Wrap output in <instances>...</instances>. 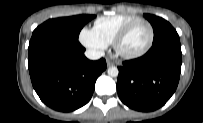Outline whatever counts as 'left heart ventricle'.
<instances>
[{"mask_svg": "<svg viewBox=\"0 0 203 123\" xmlns=\"http://www.w3.org/2000/svg\"><path fill=\"white\" fill-rule=\"evenodd\" d=\"M150 30L144 23L137 24L121 43V50L127 53L138 52L148 43Z\"/></svg>", "mask_w": 203, "mask_h": 123, "instance_id": "left-heart-ventricle-1", "label": "left heart ventricle"}]
</instances>
